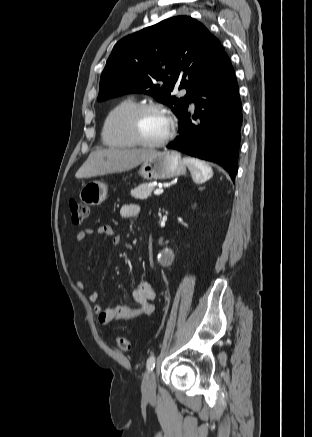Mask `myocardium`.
I'll use <instances>...</instances> for the list:
<instances>
[{"instance_id":"myocardium-1","label":"myocardium","mask_w":312,"mask_h":437,"mask_svg":"<svg viewBox=\"0 0 312 437\" xmlns=\"http://www.w3.org/2000/svg\"><path fill=\"white\" fill-rule=\"evenodd\" d=\"M148 111H156V112L162 113L163 115H165V117L167 118V120L169 122V128H168L167 134L162 139H160L158 141L146 140L141 135L140 127H139V120H140V117L142 116V114H144L145 112H148ZM127 125H128V131H129L131 138L138 145H141L144 147H151V148L161 147V146H164L167 143H169L174 137L175 128H176L175 120H174L173 116L170 114V112L166 108H164L162 105L156 104V103H151V102L137 104L130 111V113L128 115Z\"/></svg>"}]
</instances>
